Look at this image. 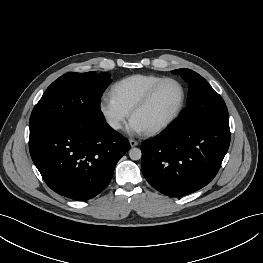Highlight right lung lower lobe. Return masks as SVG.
<instances>
[{"instance_id":"right-lung-lower-lobe-1","label":"right lung lower lobe","mask_w":263,"mask_h":263,"mask_svg":"<svg viewBox=\"0 0 263 263\" xmlns=\"http://www.w3.org/2000/svg\"><path fill=\"white\" fill-rule=\"evenodd\" d=\"M126 138L101 120L64 124L29 140L31 158L46 184L74 200H88L110 182Z\"/></svg>"}]
</instances>
